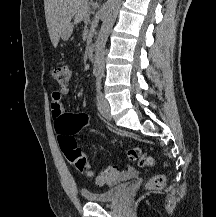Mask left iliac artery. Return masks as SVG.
I'll list each match as a JSON object with an SVG mask.
<instances>
[{
    "label": "left iliac artery",
    "instance_id": "obj_1",
    "mask_svg": "<svg viewBox=\"0 0 216 217\" xmlns=\"http://www.w3.org/2000/svg\"><path fill=\"white\" fill-rule=\"evenodd\" d=\"M100 88H101V77L98 76L97 80H96V89H97V91H99Z\"/></svg>",
    "mask_w": 216,
    "mask_h": 217
}]
</instances>
